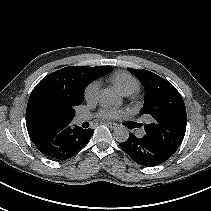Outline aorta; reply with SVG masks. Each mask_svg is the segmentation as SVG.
Listing matches in <instances>:
<instances>
[{"mask_svg":"<svg viewBox=\"0 0 211 211\" xmlns=\"http://www.w3.org/2000/svg\"><path fill=\"white\" fill-rule=\"evenodd\" d=\"M100 102L104 106H114L121 104V98L115 92L105 89L100 93ZM113 137L117 142H125L129 138V131L124 126L117 127Z\"/></svg>","mask_w":211,"mask_h":211,"instance_id":"aorta-1","label":"aorta"}]
</instances>
